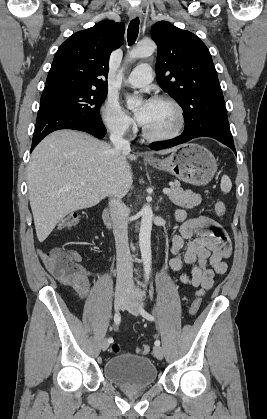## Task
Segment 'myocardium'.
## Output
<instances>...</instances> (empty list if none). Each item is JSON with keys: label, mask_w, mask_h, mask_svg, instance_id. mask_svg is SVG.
I'll return each instance as SVG.
<instances>
[{"label": "myocardium", "mask_w": 267, "mask_h": 419, "mask_svg": "<svg viewBox=\"0 0 267 419\" xmlns=\"http://www.w3.org/2000/svg\"><path fill=\"white\" fill-rule=\"evenodd\" d=\"M153 101L166 102L170 104L176 111L177 124L171 131L163 134L151 133L142 125L141 130L143 136L150 141H166L177 137L185 126V114L182 106L176 99L168 95H158L154 97Z\"/></svg>", "instance_id": "obj_1"}]
</instances>
